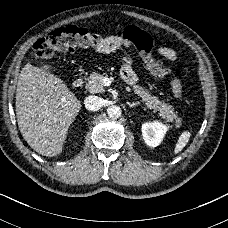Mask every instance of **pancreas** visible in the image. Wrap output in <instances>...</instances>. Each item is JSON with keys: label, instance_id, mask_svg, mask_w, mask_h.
<instances>
[{"label": "pancreas", "instance_id": "1", "mask_svg": "<svg viewBox=\"0 0 228 228\" xmlns=\"http://www.w3.org/2000/svg\"><path fill=\"white\" fill-rule=\"evenodd\" d=\"M106 76L107 75L102 73L93 72L90 74L89 83L85 86L92 93H104L105 89L102 85V80ZM132 89L134 94L140 97L141 101H146L148 107H152L154 110H159V116L161 118L167 120L175 128L180 127L181 119H179V116L170 105L160 102L158 97L152 95L144 87L138 84H133Z\"/></svg>", "mask_w": 228, "mask_h": 228}]
</instances>
